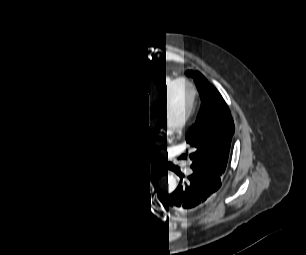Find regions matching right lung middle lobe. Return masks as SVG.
<instances>
[{
  "mask_svg": "<svg viewBox=\"0 0 306 255\" xmlns=\"http://www.w3.org/2000/svg\"><path fill=\"white\" fill-rule=\"evenodd\" d=\"M130 76L124 78L125 82ZM111 128L112 120L103 115L74 117L65 134L66 156L84 159L86 172H90L100 162L104 151L102 138Z\"/></svg>",
  "mask_w": 306,
  "mask_h": 255,
  "instance_id": "right-lung-middle-lobe-1",
  "label": "right lung middle lobe"
}]
</instances>
